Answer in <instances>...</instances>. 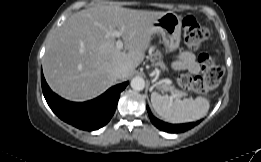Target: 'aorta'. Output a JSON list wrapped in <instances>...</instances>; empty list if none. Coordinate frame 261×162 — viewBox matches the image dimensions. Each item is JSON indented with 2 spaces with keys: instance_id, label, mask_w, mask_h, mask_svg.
I'll list each match as a JSON object with an SVG mask.
<instances>
[{
  "instance_id": "aorta-1",
  "label": "aorta",
  "mask_w": 261,
  "mask_h": 162,
  "mask_svg": "<svg viewBox=\"0 0 261 162\" xmlns=\"http://www.w3.org/2000/svg\"><path fill=\"white\" fill-rule=\"evenodd\" d=\"M130 85L132 89L141 91L145 88V80L142 77L136 76L131 80Z\"/></svg>"
}]
</instances>
